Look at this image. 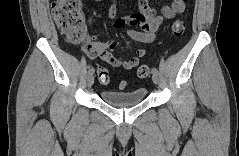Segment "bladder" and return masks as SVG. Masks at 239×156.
I'll return each mask as SVG.
<instances>
[{
    "label": "bladder",
    "mask_w": 239,
    "mask_h": 156,
    "mask_svg": "<svg viewBox=\"0 0 239 156\" xmlns=\"http://www.w3.org/2000/svg\"><path fill=\"white\" fill-rule=\"evenodd\" d=\"M147 95L145 87H138L131 91L103 90L101 99L112 106L125 108L141 103Z\"/></svg>",
    "instance_id": "bladder-1"
}]
</instances>
